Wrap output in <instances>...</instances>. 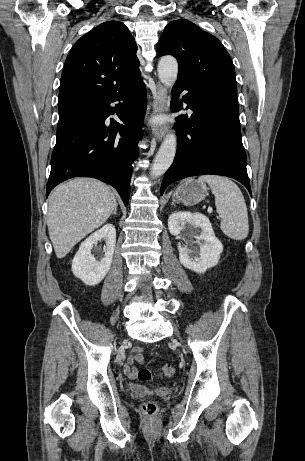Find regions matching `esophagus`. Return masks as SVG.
Segmentation results:
<instances>
[{
  "instance_id": "1",
  "label": "esophagus",
  "mask_w": 305,
  "mask_h": 461,
  "mask_svg": "<svg viewBox=\"0 0 305 461\" xmlns=\"http://www.w3.org/2000/svg\"><path fill=\"white\" fill-rule=\"evenodd\" d=\"M155 114L166 113L168 111V97L166 88L160 83H156L155 101L153 104ZM166 124L156 125L152 130V135L157 141H161L167 133Z\"/></svg>"
}]
</instances>
